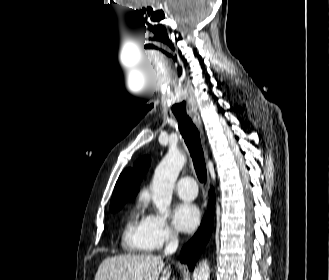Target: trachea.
Returning <instances> with one entry per match:
<instances>
[{"mask_svg":"<svg viewBox=\"0 0 329 280\" xmlns=\"http://www.w3.org/2000/svg\"><path fill=\"white\" fill-rule=\"evenodd\" d=\"M178 127L189 149L197 177L201 183L207 180V170L199 131L187 114H175Z\"/></svg>","mask_w":329,"mask_h":280,"instance_id":"1","label":"trachea"}]
</instances>
